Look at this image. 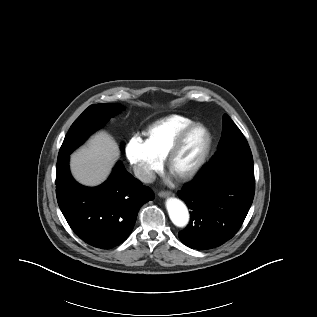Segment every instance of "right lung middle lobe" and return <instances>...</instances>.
<instances>
[{
  "label": "right lung middle lobe",
  "instance_id": "1",
  "mask_svg": "<svg viewBox=\"0 0 317 317\" xmlns=\"http://www.w3.org/2000/svg\"><path fill=\"white\" fill-rule=\"evenodd\" d=\"M122 108L121 105L113 103L89 106L70 127L60 148L58 160L69 156L91 133L102 127L107 119L120 112Z\"/></svg>",
  "mask_w": 317,
  "mask_h": 317
}]
</instances>
